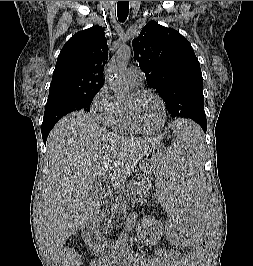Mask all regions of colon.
Here are the masks:
<instances>
[{"label":"colon","mask_w":253,"mask_h":266,"mask_svg":"<svg viewBox=\"0 0 253 266\" xmlns=\"http://www.w3.org/2000/svg\"><path fill=\"white\" fill-rule=\"evenodd\" d=\"M206 248V242H203L202 248H192L183 261V266H197V263L204 255ZM79 262L80 258L78 252L74 248L66 249L59 257L60 266H79Z\"/></svg>","instance_id":"1"}]
</instances>
